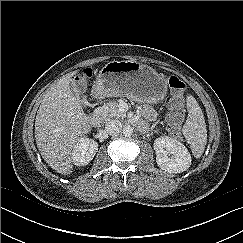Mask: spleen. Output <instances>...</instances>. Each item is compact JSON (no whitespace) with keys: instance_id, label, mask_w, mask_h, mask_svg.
Returning a JSON list of instances; mask_svg holds the SVG:
<instances>
[{"instance_id":"3e777b00","label":"spleen","mask_w":243,"mask_h":243,"mask_svg":"<svg viewBox=\"0 0 243 243\" xmlns=\"http://www.w3.org/2000/svg\"><path fill=\"white\" fill-rule=\"evenodd\" d=\"M188 117L183 126V134L190 144L191 150L195 157H200L207 143V129L202 109L196 99L187 96Z\"/></svg>"}]
</instances>
